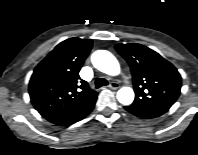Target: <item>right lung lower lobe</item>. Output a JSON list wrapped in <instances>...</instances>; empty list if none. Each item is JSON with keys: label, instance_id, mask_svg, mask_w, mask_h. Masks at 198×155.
I'll return each mask as SVG.
<instances>
[{"label": "right lung lower lobe", "instance_id": "right-lung-lower-lobe-1", "mask_svg": "<svg viewBox=\"0 0 198 155\" xmlns=\"http://www.w3.org/2000/svg\"><path fill=\"white\" fill-rule=\"evenodd\" d=\"M97 94L85 99L72 110L63 114L47 118L48 121L58 125H70L85 118L94 108Z\"/></svg>", "mask_w": 198, "mask_h": 155}]
</instances>
